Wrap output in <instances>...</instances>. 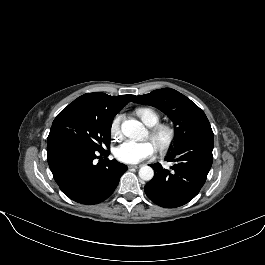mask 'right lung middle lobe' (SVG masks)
I'll return each instance as SVG.
<instances>
[{
	"label": "right lung middle lobe",
	"instance_id": "1",
	"mask_svg": "<svg viewBox=\"0 0 265 265\" xmlns=\"http://www.w3.org/2000/svg\"><path fill=\"white\" fill-rule=\"evenodd\" d=\"M104 118L82 110H62L50 129L47 143L57 140L81 142L95 150L110 147L111 122Z\"/></svg>",
	"mask_w": 265,
	"mask_h": 265
}]
</instances>
